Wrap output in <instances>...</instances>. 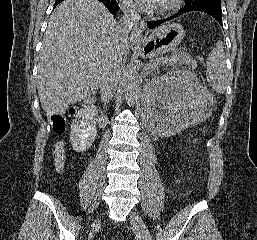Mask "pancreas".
Returning a JSON list of instances; mask_svg holds the SVG:
<instances>
[{
  "label": "pancreas",
  "instance_id": "pancreas-1",
  "mask_svg": "<svg viewBox=\"0 0 257 240\" xmlns=\"http://www.w3.org/2000/svg\"><path fill=\"white\" fill-rule=\"evenodd\" d=\"M188 65L190 69L194 70L197 66L196 61L189 56L187 53L181 51V50H175L172 52V54L169 57L163 58L159 61V63L155 64L153 66V69H156L159 65Z\"/></svg>",
  "mask_w": 257,
  "mask_h": 240
}]
</instances>
